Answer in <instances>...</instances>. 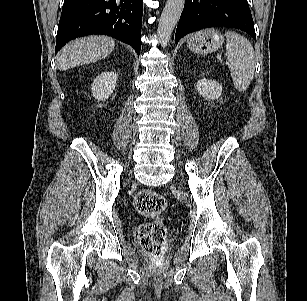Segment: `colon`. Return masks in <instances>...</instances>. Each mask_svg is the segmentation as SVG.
Wrapping results in <instances>:
<instances>
[{
  "label": "colon",
  "mask_w": 307,
  "mask_h": 301,
  "mask_svg": "<svg viewBox=\"0 0 307 301\" xmlns=\"http://www.w3.org/2000/svg\"><path fill=\"white\" fill-rule=\"evenodd\" d=\"M134 206L139 214L153 219L139 226V244L150 255L158 256L166 246L167 229L160 220L166 209V200L160 193L145 189L136 194Z\"/></svg>",
  "instance_id": "5ec220e1"
}]
</instances>
